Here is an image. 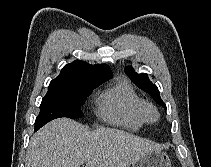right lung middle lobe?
I'll use <instances>...</instances> for the list:
<instances>
[{"mask_svg": "<svg viewBox=\"0 0 211 167\" xmlns=\"http://www.w3.org/2000/svg\"><path fill=\"white\" fill-rule=\"evenodd\" d=\"M104 81H86L67 87L48 88L42 99L40 113L35 120V131L49 121L60 118H80L86 97Z\"/></svg>", "mask_w": 211, "mask_h": 167, "instance_id": "right-lung-middle-lobe-1", "label": "right lung middle lobe"}]
</instances>
